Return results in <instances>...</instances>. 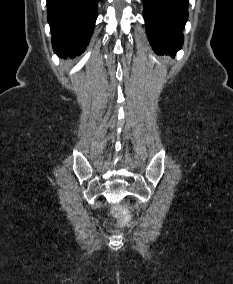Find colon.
<instances>
[{"label": "colon", "mask_w": 233, "mask_h": 284, "mask_svg": "<svg viewBox=\"0 0 233 284\" xmlns=\"http://www.w3.org/2000/svg\"><path fill=\"white\" fill-rule=\"evenodd\" d=\"M115 213L121 217H124L125 216V212L124 210H122L121 208H115Z\"/></svg>", "instance_id": "1"}]
</instances>
